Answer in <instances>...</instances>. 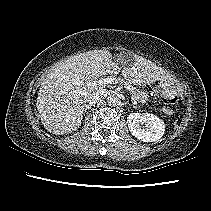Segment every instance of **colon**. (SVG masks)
I'll return each mask as SVG.
<instances>
[{"instance_id":"obj_1","label":"colon","mask_w":211,"mask_h":211,"mask_svg":"<svg viewBox=\"0 0 211 211\" xmlns=\"http://www.w3.org/2000/svg\"><path fill=\"white\" fill-rule=\"evenodd\" d=\"M163 102L165 104V112L168 114L172 113V108L171 106L177 102V96H169V97H165L163 99Z\"/></svg>"}]
</instances>
